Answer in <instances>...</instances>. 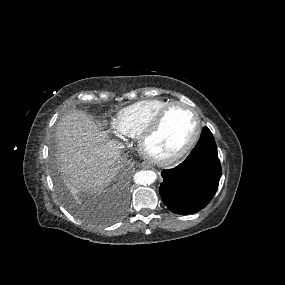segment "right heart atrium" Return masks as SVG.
<instances>
[{
    "label": "right heart atrium",
    "mask_w": 285,
    "mask_h": 285,
    "mask_svg": "<svg viewBox=\"0 0 285 285\" xmlns=\"http://www.w3.org/2000/svg\"><path fill=\"white\" fill-rule=\"evenodd\" d=\"M111 131L112 133L117 136L118 138H120L121 140H128L129 138H131L132 136H130L129 134L125 133L120 126L118 125L116 119L113 120L111 122Z\"/></svg>",
    "instance_id": "obj_1"
}]
</instances>
